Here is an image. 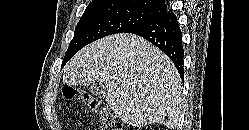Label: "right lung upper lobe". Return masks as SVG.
Returning a JSON list of instances; mask_svg holds the SVG:
<instances>
[{
  "label": "right lung upper lobe",
  "mask_w": 249,
  "mask_h": 130,
  "mask_svg": "<svg viewBox=\"0 0 249 130\" xmlns=\"http://www.w3.org/2000/svg\"><path fill=\"white\" fill-rule=\"evenodd\" d=\"M115 3L128 6H136L144 10L158 13L160 16L167 13L165 0H92L89 5Z\"/></svg>",
  "instance_id": "obj_1"
}]
</instances>
